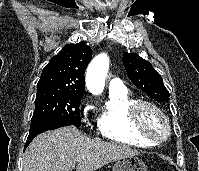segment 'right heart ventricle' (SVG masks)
Masks as SVG:
<instances>
[{
    "mask_svg": "<svg viewBox=\"0 0 199 171\" xmlns=\"http://www.w3.org/2000/svg\"><path fill=\"white\" fill-rule=\"evenodd\" d=\"M139 100L126 88L110 91L97 118L99 134L109 140L138 147H152L157 143L138 134L131 112Z\"/></svg>",
    "mask_w": 199,
    "mask_h": 171,
    "instance_id": "1",
    "label": "right heart ventricle"
}]
</instances>
